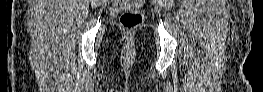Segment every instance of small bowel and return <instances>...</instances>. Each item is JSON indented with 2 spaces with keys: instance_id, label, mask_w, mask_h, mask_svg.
<instances>
[{
  "instance_id": "1",
  "label": "small bowel",
  "mask_w": 263,
  "mask_h": 92,
  "mask_svg": "<svg viewBox=\"0 0 263 92\" xmlns=\"http://www.w3.org/2000/svg\"><path fill=\"white\" fill-rule=\"evenodd\" d=\"M122 2H127V3H131V4L138 5V4L136 3V1H122Z\"/></svg>"
}]
</instances>
